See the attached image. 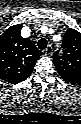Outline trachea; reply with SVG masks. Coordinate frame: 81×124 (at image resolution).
<instances>
[{"label":"trachea","mask_w":81,"mask_h":124,"mask_svg":"<svg viewBox=\"0 0 81 124\" xmlns=\"http://www.w3.org/2000/svg\"><path fill=\"white\" fill-rule=\"evenodd\" d=\"M47 44H48V42H47V40L45 39V38H41L39 41H38V43H37V45H38V47H39V49H45L46 47H47Z\"/></svg>","instance_id":"trachea-1"}]
</instances>
